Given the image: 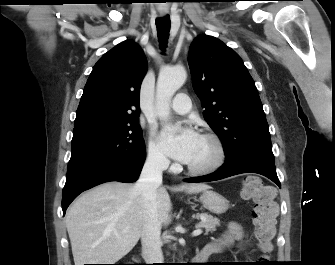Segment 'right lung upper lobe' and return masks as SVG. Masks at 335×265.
I'll return each mask as SVG.
<instances>
[{
    "mask_svg": "<svg viewBox=\"0 0 335 265\" xmlns=\"http://www.w3.org/2000/svg\"><path fill=\"white\" fill-rule=\"evenodd\" d=\"M147 63L133 41H124L95 64L76 112L74 128L138 120Z\"/></svg>",
    "mask_w": 335,
    "mask_h": 265,
    "instance_id": "obj_1",
    "label": "right lung upper lobe"
}]
</instances>
